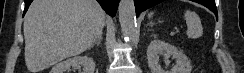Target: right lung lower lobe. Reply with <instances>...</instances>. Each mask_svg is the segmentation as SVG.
<instances>
[{"label": "right lung lower lobe", "instance_id": "1", "mask_svg": "<svg viewBox=\"0 0 244 73\" xmlns=\"http://www.w3.org/2000/svg\"><path fill=\"white\" fill-rule=\"evenodd\" d=\"M25 1V10H24V14L26 13L29 5L31 4V2L33 0H24ZM100 5L102 6V8L112 17L115 16L116 11H117V7L119 4V0H97ZM23 14V15H24Z\"/></svg>", "mask_w": 244, "mask_h": 73}]
</instances>
